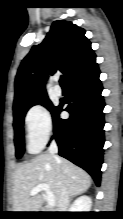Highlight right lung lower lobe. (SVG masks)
Instances as JSON below:
<instances>
[{"label": "right lung lower lobe", "mask_w": 123, "mask_h": 219, "mask_svg": "<svg viewBox=\"0 0 123 219\" xmlns=\"http://www.w3.org/2000/svg\"><path fill=\"white\" fill-rule=\"evenodd\" d=\"M99 75L94 58L67 80L69 95L52 114L53 137L59 146V155L86 170L97 186L100 185L103 161L102 111L105 106ZM62 110L70 113L68 119L59 117Z\"/></svg>", "instance_id": "obj_1"}]
</instances>
